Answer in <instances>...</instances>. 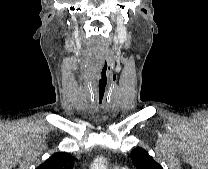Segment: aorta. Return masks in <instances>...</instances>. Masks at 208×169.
<instances>
[{
    "instance_id": "1",
    "label": "aorta",
    "mask_w": 208,
    "mask_h": 169,
    "mask_svg": "<svg viewBox=\"0 0 208 169\" xmlns=\"http://www.w3.org/2000/svg\"><path fill=\"white\" fill-rule=\"evenodd\" d=\"M91 169H106L104 166V159L103 158H96L92 164Z\"/></svg>"
}]
</instances>
